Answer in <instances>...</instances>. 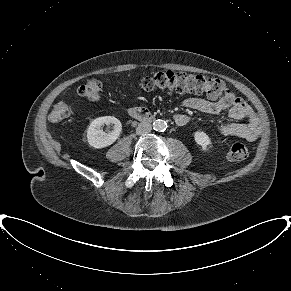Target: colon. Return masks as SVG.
<instances>
[{
    "label": "colon",
    "mask_w": 291,
    "mask_h": 291,
    "mask_svg": "<svg viewBox=\"0 0 291 291\" xmlns=\"http://www.w3.org/2000/svg\"><path fill=\"white\" fill-rule=\"evenodd\" d=\"M140 87L147 92L169 93H205L211 99H221L231 93L225 83L215 77L202 74H187L176 71H163L153 76L145 77L140 81ZM102 82L98 79H89L78 88V95L89 101L100 99ZM72 107L66 103L57 104L51 113V120L61 121L70 116ZM249 151L245 144L234 143L228 150L227 157L230 161L239 162L248 157Z\"/></svg>",
    "instance_id": "colon-1"
}]
</instances>
